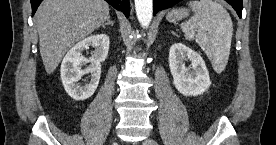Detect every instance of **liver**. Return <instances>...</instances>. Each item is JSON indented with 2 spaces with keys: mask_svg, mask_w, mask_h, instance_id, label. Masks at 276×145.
Masks as SVG:
<instances>
[{
  "mask_svg": "<svg viewBox=\"0 0 276 145\" xmlns=\"http://www.w3.org/2000/svg\"><path fill=\"white\" fill-rule=\"evenodd\" d=\"M109 18L104 0H44L35 14L40 54L48 74L75 43Z\"/></svg>",
  "mask_w": 276,
  "mask_h": 145,
  "instance_id": "obj_1",
  "label": "liver"
}]
</instances>
